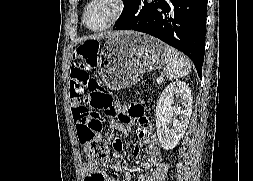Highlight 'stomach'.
<instances>
[{"label": "stomach", "mask_w": 253, "mask_h": 181, "mask_svg": "<svg viewBox=\"0 0 253 181\" xmlns=\"http://www.w3.org/2000/svg\"><path fill=\"white\" fill-rule=\"evenodd\" d=\"M165 64V44L159 39L134 31H122L102 46L99 73L112 90L128 88L140 81L145 72Z\"/></svg>", "instance_id": "obj_1"}]
</instances>
